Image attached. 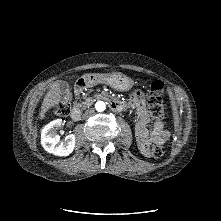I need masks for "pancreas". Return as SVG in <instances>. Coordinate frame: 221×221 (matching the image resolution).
Here are the masks:
<instances>
[{
	"label": "pancreas",
	"mask_w": 221,
	"mask_h": 221,
	"mask_svg": "<svg viewBox=\"0 0 221 221\" xmlns=\"http://www.w3.org/2000/svg\"><path fill=\"white\" fill-rule=\"evenodd\" d=\"M94 102V99L90 98V97H85V101L82 102V107H88L91 106Z\"/></svg>",
	"instance_id": "1"
}]
</instances>
